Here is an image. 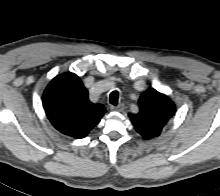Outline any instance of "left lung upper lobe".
<instances>
[{"label":"left lung upper lobe","instance_id":"left-lung-upper-lobe-1","mask_svg":"<svg viewBox=\"0 0 220 196\" xmlns=\"http://www.w3.org/2000/svg\"><path fill=\"white\" fill-rule=\"evenodd\" d=\"M139 108V113L129 114V117L137 132L144 139L159 136L175 113L174 103L166 95L155 89H148L141 94Z\"/></svg>","mask_w":220,"mask_h":196}]
</instances>
